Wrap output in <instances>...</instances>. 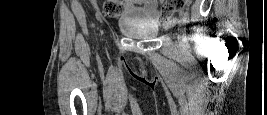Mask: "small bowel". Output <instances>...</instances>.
I'll return each mask as SVG.
<instances>
[{"mask_svg":"<svg viewBox=\"0 0 267 115\" xmlns=\"http://www.w3.org/2000/svg\"><path fill=\"white\" fill-rule=\"evenodd\" d=\"M127 5L129 8H142L146 11L148 16L152 19L158 18V12H157V6L158 1L157 0H145L142 1L141 4H137L135 1H127Z\"/></svg>","mask_w":267,"mask_h":115,"instance_id":"small-bowel-1","label":"small bowel"}]
</instances>
